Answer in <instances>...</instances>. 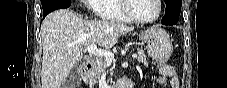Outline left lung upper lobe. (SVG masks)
Listing matches in <instances>:
<instances>
[{"label":"left lung upper lobe","mask_w":227,"mask_h":88,"mask_svg":"<svg viewBox=\"0 0 227 88\" xmlns=\"http://www.w3.org/2000/svg\"><path fill=\"white\" fill-rule=\"evenodd\" d=\"M165 1V3H166V6L168 5V4H176V5H179V6H181L182 5V0H164Z\"/></svg>","instance_id":"5c2ea615"}]
</instances>
